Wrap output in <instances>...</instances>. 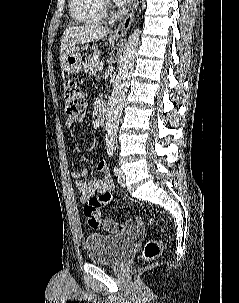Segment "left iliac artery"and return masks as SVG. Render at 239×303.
I'll return each mask as SVG.
<instances>
[{
  "instance_id": "1",
  "label": "left iliac artery",
  "mask_w": 239,
  "mask_h": 303,
  "mask_svg": "<svg viewBox=\"0 0 239 303\" xmlns=\"http://www.w3.org/2000/svg\"><path fill=\"white\" fill-rule=\"evenodd\" d=\"M116 149V144L114 142H108L107 143V153L109 157H112L114 154V150ZM117 167L114 168V173H117Z\"/></svg>"
}]
</instances>
